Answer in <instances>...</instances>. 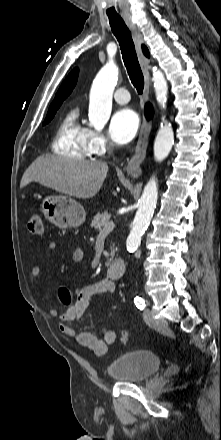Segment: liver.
Masks as SVG:
<instances>
[{"label": "liver", "mask_w": 221, "mask_h": 440, "mask_svg": "<svg viewBox=\"0 0 221 440\" xmlns=\"http://www.w3.org/2000/svg\"><path fill=\"white\" fill-rule=\"evenodd\" d=\"M108 169L103 161L42 155L25 171L20 187L37 182L69 196L89 199L99 192Z\"/></svg>", "instance_id": "liver-1"}]
</instances>
